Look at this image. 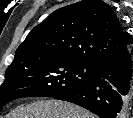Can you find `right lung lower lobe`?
<instances>
[{
    "label": "right lung lower lobe",
    "mask_w": 133,
    "mask_h": 118,
    "mask_svg": "<svg viewBox=\"0 0 133 118\" xmlns=\"http://www.w3.org/2000/svg\"><path fill=\"white\" fill-rule=\"evenodd\" d=\"M132 58L129 49L96 68L88 83L55 99L80 105L100 118H123L130 103Z\"/></svg>",
    "instance_id": "1"
}]
</instances>
